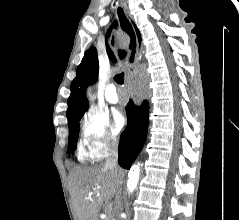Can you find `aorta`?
I'll use <instances>...</instances> for the list:
<instances>
[{
    "instance_id": "1",
    "label": "aorta",
    "mask_w": 239,
    "mask_h": 220,
    "mask_svg": "<svg viewBox=\"0 0 239 220\" xmlns=\"http://www.w3.org/2000/svg\"><path fill=\"white\" fill-rule=\"evenodd\" d=\"M139 176H140V164L138 163L137 165L131 167L128 174L127 190L129 194L133 193V191L136 189L139 182Z\"/></svg>"
}]
</instances>
